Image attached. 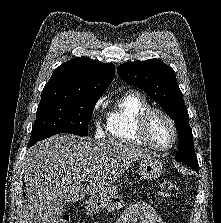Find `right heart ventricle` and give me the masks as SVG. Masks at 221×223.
I'll list each match as a JSON object with an SVG mask.
<instances>
[{
  "label": "right heart ventricle",
  "instance_id": "obj_1",
  "mask_svg": "<svg viewBox=\"0 0 221 223\" xmlns=\"http://www.w3.org/2000/svg\"><path fill=\"white\" fill-rule=\"evenodd\" d=\"M149 108L150 102L140 92L129 91L123 94L107 115V138L112 141L142 144L136 128L140 115Z\"/></svg>",
  "mask_w": 221,
  "mask_h": 223
}]
</instances>
